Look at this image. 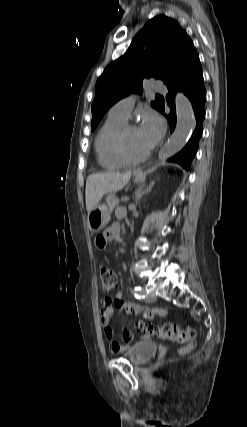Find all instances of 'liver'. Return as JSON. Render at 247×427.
<instances>
[{"instance_id": "6515ba94", "label": "liver", "mask_w": 247, "mask_h": 427, "mask_svg": "<svg viewBox=\"0 0 247 427\" xmlns=\"http://www.w3.org/2000/svg\"><path fill=\"white\" fill-rule=\"evenodd\" d=\"M130 178L131 172L90 174L87 178L85 189L86 209L88 213L99 204L105 194L121 190L129 182Z\"/></svg>"}]
</instances>
